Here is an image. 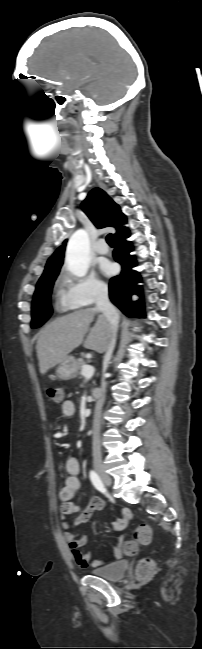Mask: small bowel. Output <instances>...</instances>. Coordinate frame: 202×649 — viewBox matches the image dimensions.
<instances>
[{"label": "small bowel", "instance_id": "c3829d8e", "mask_svg": "<svg viewBox=\"0 0 202 649\" xmlns=\"http://www.w3.org/2000/svg\"><path fill=\"white\" fill-rule=\"evenodd\" d=\"M61 411L63 416L72 417L75 414L76 408L72 400H65L61 404ZM60 436V434H59ZM65 471L67 477L64 485L59 492L61 500L60 515L61 526L65 530L64 536L68 543L70 554L78 566L82 568L99 567L104 564L103 559L94 558L91 553L84 554L81 548L87 543V538L84 535H79L74 532V529L83 523H87L92 517L93 513L102 510L105 503L98 497L92 500L84 507L73 501L75 494L81 488V481L79 474L81 471L80 462L76 457H70L65 461ZM72 514H77L73 522H70L68 517ZM131 519V512L128 509L122 511V516L113 524L115 531H122L126 528L129 520ZM123 538L119 537L117 545L113 551L115 558H120L123 554Z\"/></svg>", "mask_w": 202, "mask_h": 649}]
</instances>
